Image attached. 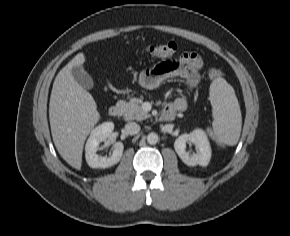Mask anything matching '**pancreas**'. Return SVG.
I'll list each match as a JSON object with an SVG mask.
<instances>
[{
  "label": "pancreas",
  "mask_w": 290,
  "mask_h": 236,
  "mask_svg": "<svg viewBox=\"0 0 290 236\" xmlns=\"http://www.w3.org/2000/svg\"><path fill=\"white\" fill-rule=\"evenodd\" d=\"M117 106L121 108L122 115L126 120H144L150 115L142 109L139 105V101L136 98H131L128 102L120 100L117 102Z\"/></svg>",
  "instance_id": "obj_1"
}]
</instances>
